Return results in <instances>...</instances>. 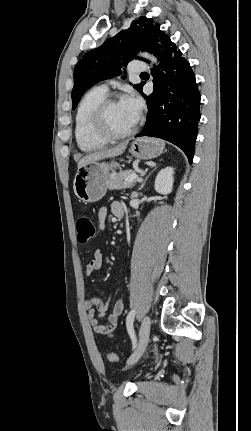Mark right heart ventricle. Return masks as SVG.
Segmentation results:
<instances>
[{
    "label": "right heart ventricle",
    "mask_w": 251,
    "mask_h": 431,
    "mask_svg": "<svg viewBox=\"0 0 251 431\" xmlns=\"http://www.w3.org/2000/svg\"><path fill=\"white\" fill-rule=\"evenodd\" d=\"M106 92L92 88L84 94L75 114L74 134L78 147L84 152H91L104 147L108 141L96 136L91 128L93 112Z\"/></svg>",
    "instance_id": "e07e8e85"
}]
</instances>
